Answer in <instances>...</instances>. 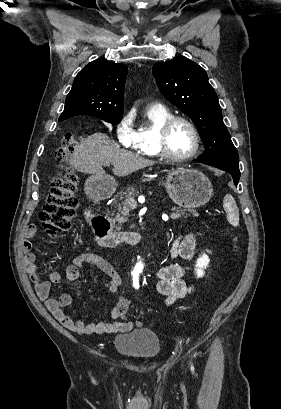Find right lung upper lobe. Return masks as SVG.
Listing matches in <instances>:
<instances>
[{"label": "right lung upper lobe", "instance_id": "right-lung-upper-lobe-1", "mask_svg": "<svg viewBox=\"0 0 281 409\" xmlns=\"http://www.w3.org/2000/svg\"><path fill=\"white\" fill-rule=\"evenodd\" d=\"M126 75V66L103 58L86 65L73 82L59 121L77 115L122 117Z\"/></svg>", "mask_w": 281, "mask_h": 409}]
</instances>
